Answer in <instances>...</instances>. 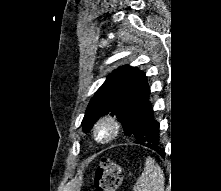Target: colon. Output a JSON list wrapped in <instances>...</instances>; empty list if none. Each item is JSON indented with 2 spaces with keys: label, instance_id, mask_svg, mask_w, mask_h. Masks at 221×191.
Returning a JSON list of instances; mask_svg holds the SVG:
<instances>
[{
  "label": "colon",
  "instance_id": "5ec220e1",
  "mask_svg": "<svg viewBox=\"0 0 221 191\" xmlns=\"http://www.w3.org/2000/svg\"><path fill=\"white\" fill-rule=\"evenodd\" d=\"M122 180V168L118 162L110 158L102 159L95 174L97 191H117Z\"/></svg>",
  "mask_w": 221,
  "mask_h": 191
}]
</instances>
